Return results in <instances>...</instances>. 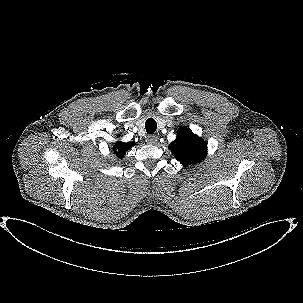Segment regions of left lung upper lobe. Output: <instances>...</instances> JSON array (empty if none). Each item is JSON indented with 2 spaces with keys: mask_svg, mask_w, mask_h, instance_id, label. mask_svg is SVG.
Instances as JSON below:
<instances>
[{
  "mask_svg": "<svg viewBox=\"0 0 303 303\" xmlns=\"http://www.w3.org/2000/svg\"><path fill=\"white\" fill-rule=\"evenodd\" d=\"M175 158L184 166L196 164L207 154V143L188 128H180L177 138L169 144Z\"/></svg>",
  "mask_w": 303,
  "mask_h": 303,
  "instance_id": "1",
  "label": "left lung upper lobe"
}]
</instances>
